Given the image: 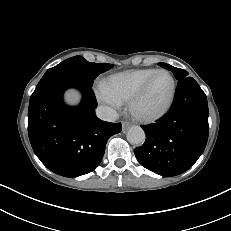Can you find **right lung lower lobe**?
Returning <instances> with one entry per match:
<instances>
[{"mask_svg": "<svg viewBox=\"0 0 231 231\" xmlns=\"http://www.w3.org/2000/svg\"><path fill=\"white\" fill-rule=\"evenodd\" d=\"M77 88L83 99L68 107L62 95ZM92 87L73 80H59L33 93L28 109V135L40 161L52 172L77 177L93 171L101 162L107 139L121 131L120 123L97 118Z\"/></svg>", "mask_w": 231, "mask_h": 231, "instance_id": "98d812e1", "label": "right lung lower lobe"}]
</instances>
